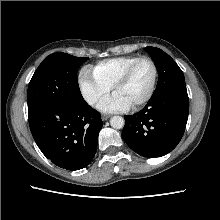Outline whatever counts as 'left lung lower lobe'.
Wrapping results in <instances>:
<instances>
[{"instance_id":"0a47b994","label":"left lung lower lobe","mask_w":220,"mask_h":220,"mask_svg":"<svg viewBox=\"0 0 220 220\" xmlns=\"http://www.w3.org/2000/svg\"><path fill=\"white\" fill-rule=\"evenodd\" d=\"M189 100L185 82L153 93L146 106L134 115L124 116L122 137L144 157H160L180 142L187 123Z\"/></svg>"}]
</instances>
